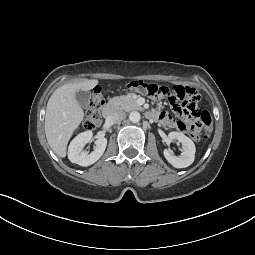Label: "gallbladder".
I'll list each match as a JSON object with an SVG mask.
<instances>
[{"instance_id":"bac80fb5","label":"gallbladder","mask_w":255,"mask_h":255,"mask_svg":"<svg viewBox=\"0 0 255 255\" xmlns=\"http://www.w3.org/2000/svg\"><path fill=\"white\" fill-rule=\"evenodd\" d=\"M90 96H91L90 92H87V91H79L76 93V99L80 107L86 108L88 106Z\"/></svg>"}]
</instances>
